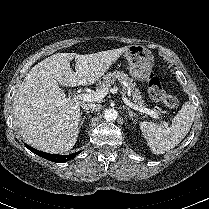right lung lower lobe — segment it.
<instances>
[{
    "mask_svg": "<svg viewBox=\"0 0 209 209\" xmlns=\"http://www.w3.org/2000/svg\"><path fill=\"white\" fill-rule=\"evenodd\" d=\"M26 147L28 149H30L33 153H35V154H37V155H39V156H41V157H43L47 160L56 162V163L69 161L80 153V151H79V152H75V153L70 154V155H57V154H49V153L38 151V150L28 146V145H26Z\"/></svg>",
    "mask_w": 209,
    "mask_h": 209,
    "instance_id": "98d812e1",
    "label": "right lung lower lobe"
}]
</instances>
